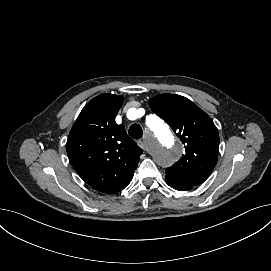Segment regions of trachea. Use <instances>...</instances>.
<instances>
[{"mask_svg":"<svg viewBox=\"0 0 271 271\" xmlns=\"http://www.w3.org/2000/svg\"><path fill=\"white\" fill-rule=\"evenodd\" d=\"M128 133L133 139L139 140L142 138L143 130L139 124H132L128 130Z\"/></svg>","mask_w":271,"mask_h":271,"instance_id":"1","label":"trachea"}]
</instances>
